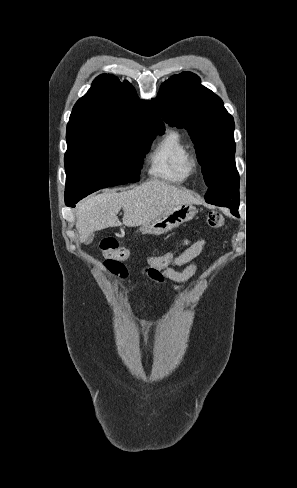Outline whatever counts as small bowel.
Masks as SVG:
<instances>
[{
  "mask_svg": "<svg viewBox=\"0 0 297 488\" xmlns=\"http://www.w3.org/2000/svg\"><path fill=\"white\" fill-rule=\"evenodd\" d=\"M185 246L184 251L173 264L163 270H149V277L157 283L168 281L174 291L183 289L199 268L198 258L206 246L205 239L192 241L185 238L177 243L176 247ZM184 267L182 271L175 268Z\"/></svg>",
  "mask_w": 297,
  "mask_h": 488,
  "instance_id": "c3829d8e",
  "label": "small bowel"
}]
</instances>
